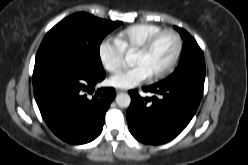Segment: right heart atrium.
<instances>
[{
    "mask_svg": "<svg viewBox=\"0 0 248 165\" xmlns=\"http://www.w3.org/2000/svg\"><path fill=\"white\" fill-rule=\"evenodd\" d=\"M98 56L103 67L114 72L121 67L124 51L115 39L106 38L99 44Z\"/></svg>",
    "mask_w": 248,
    "mask_h": 165,
    "instance_id": "1",
    "label": "right heart atrium"
}]
</instances>
